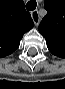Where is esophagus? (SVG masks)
Here are the masks:
<instances>
[{
    "instance_id": "obj_1",
    "label": "esophagus",
    "mask_w": 65,
    "mask_h": 89,
    "mask_svg": "<svg viewBox=\"0 0 65 89\" xmlns=\"http://www.w3.org/2000/svg\"><path fill=\"white\" fill-rule=\"evenodd\" d=\"M31 16H32V19H33L35 25H38L39 22H40V16H39L38 11L37 10H33L31 12Z\"/></svg>"
}]
</instances>
